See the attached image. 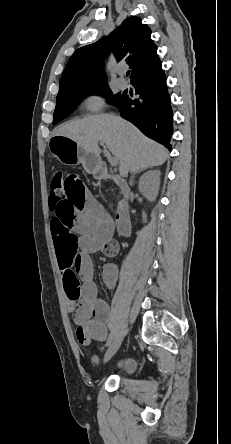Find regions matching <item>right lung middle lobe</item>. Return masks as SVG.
Masks as SVG:
<instances>
[{
  "mask_svg": "<svg viewBox=\"0 0 231 444\" xmlns=\"http://www.w3.org/2000/svg\"><path fill=\"white\" fill-rule=\"evenodd\" d=\"M94 93H102L106 95L107 97H109L110 101L113 104L118 102L123 97V94L120 93L112 95V92L107 85L82 88L65 93H60L58 94L56 99L53 124H57L58 122L66 118L71 113L74 106L79 103L81 98Z\"/></svg>",
  "mask_w": 231,
  "mask_h": 444,
  "instance_id": "right-lung-middle-lobe-1",
  "label": "right lung middle lobe"
}]
</instances>
